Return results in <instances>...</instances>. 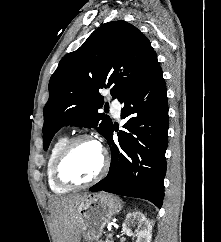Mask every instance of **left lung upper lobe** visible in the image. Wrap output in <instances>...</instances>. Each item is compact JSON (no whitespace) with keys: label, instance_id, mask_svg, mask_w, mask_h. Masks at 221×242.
<instances>
[{"label":"left lung upper lobe","instance_id":"left-lung-upper-lobe-1","mask_svg":"<svg viewBox=\"0 0 221 242\" xmlns=\"http://www.w3.org/2000/svg\"><path fill=\"white\" fill-rule=\"evenodd\" d=\"M159 66L155 51L143 33L123 20L101 25L74 52L65 55L49 82L44 107L43 146L64 125L98 126L105 138L111 119L98 113L101 88H111L118 101L141 85Z\"/></svg>","mask_w":221,"mask_h":242}]
</instances>
